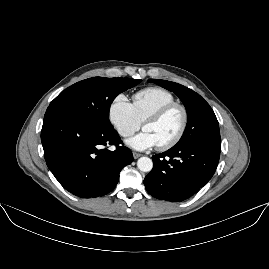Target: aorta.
Wrapping results in <instances>:
<instances>
[{"instance_id": "aorta-1", "label": "aorta", "mask_w": 269, "mask_h": 269, "mask_svg": "<svg viewBox=\"0 0 269 269\" xmlns=\"http://www.w3.org/2000/svg\"><path fill=\"white\" fill-rule=\"evenodd\" d=\"M137 167L142 172H150L153 168V161L149 157H140L137 161Z\"/></svg>"}]
</instances>
